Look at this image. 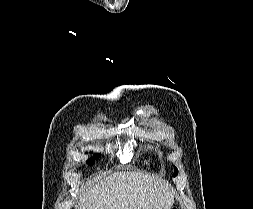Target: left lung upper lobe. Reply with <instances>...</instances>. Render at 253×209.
<instances>
[{"mask_svg": "<svg viewBox=\"0 0 253 209\" xmlns=\"http://www.w3.org/2000/svg\"><path fill=\"white\" fill-rule=\"evenodd\" d=\"M178 174V170L176 167H174V176H176Z\"/></svg>", "mask_w": 253, "mask_h": 209, "instance_id": "1", "label": "left lung upper lobe"}]
</instances>
